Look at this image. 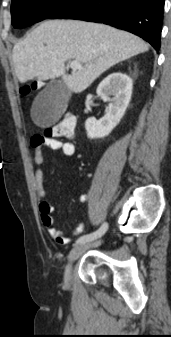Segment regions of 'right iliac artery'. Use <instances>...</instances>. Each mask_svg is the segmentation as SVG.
I'll return each mask as SVG.
<instances>
[{
	"mask_svg": "<svg viewBox=\"0 0 171 337\" xmlns=\"http://www.w3.org/2000/svg\"><path fill=\"white\" fill-rule=\"evenodd\" d=\"M108 229V224L105 222L102 224V226L95 232L87 234V235H83L81 236L77 241L76 244H81V243H86V242H90L92 240H95L99 237H101Z\"/></svg>",
	"mask_w": 171,
	"mask_h": 337,
	"instance_id": "obj_1",
	"label": "right iliac artery"
}]
</instances>
